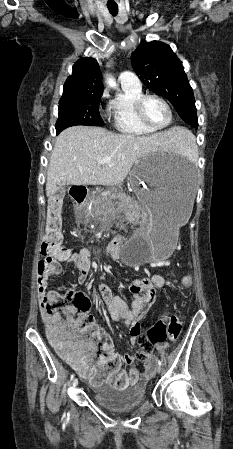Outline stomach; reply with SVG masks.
Returning a JSON list of instances; mask_svg holds the SVG:
<instances>
[{"mask_svg": "<svg viewBox=\"0 0 233 449\" xmlns=\"http://www.w3.org/2000/svg\"><path fill=\"white\" fill-rule=\"evenodd\" d=\"M193 165L177 157L159 158L156 153L137 161L129 184L147 210V220L122 246L128 265L165 257L177 242L178 229L187 223L195 200Z\"/></svg>", "mask_w": 233, "mask_h": 449, "instance_id": "0dacf381", "label": "stomach"}]
</instances>
